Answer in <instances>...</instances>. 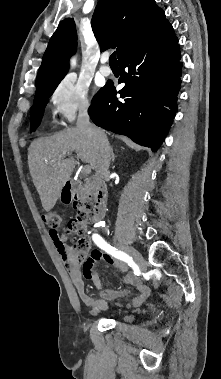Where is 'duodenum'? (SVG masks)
Listing matches in <instances>:
<instances>
[{"mask_svg": "<svg viewBox=\"0 0 221 379\" xmlns=\"http://www.w3.org/2000/svg\"><path fill=\"white\" fill-rule=\"evenodd\" d=\"M88 184L94 186V209L92 219L94 222L100 221L106 211L107 191L105 187L99 184L97 178L89 179ZM82 183L75 180H69L63 190V197L68 203L78 200L82 193Z\"/></svg>", "mask_w": 221, "mask_h": 379, "instance_id": "410a0bca", "label": "duodenum"}]
</instances>
